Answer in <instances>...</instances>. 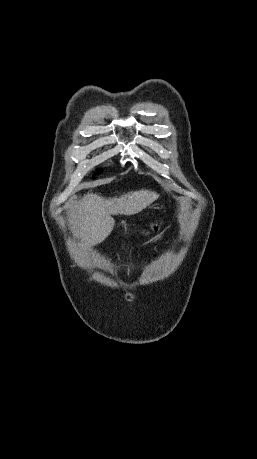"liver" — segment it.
<instances>
[{
    "mask_svg": "<svg viewBox=\"0 0 257 459\" xmlns=\"http://www.w3.org/2000/svg\"><path fill=\"white\" fill-rule=\"evenodd\" d=\"M157 197L155 192L139 190L128 192L119 198H104L88 194L78 204L72 217L73 235L85 246L103 242L112 232L111 215H133L149 206Z\"/></svg>",
    "mask_w": 257,
    "mask_h": 459,
    "instance_id": "1",
    "label": "liver"
}]
</instances>
